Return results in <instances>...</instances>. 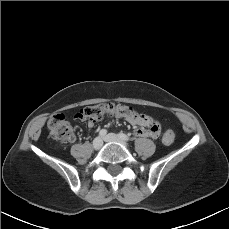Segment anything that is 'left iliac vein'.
I'll list each match as a JSON object with an SVG mask.
<instances>
[{
	"instance_id": "4c4485c4",
	"label": "left iliac vein",
	"mask_w": 229,
	"mask_h": 229,
	"mask_svg": "<svg viewBox=\"0 0 229 229\" xmlns=\"http://www.w3.org/2000/svg\"><path fill=\"white\" fill-rule=\"evenodd\" d=\"M103 140L105 142H118V143L122 144L123 146L127 147V143L123 139H121L118 135L113 134V133L107 134L103 138Z\"/></svg>"
}]
</instances>
